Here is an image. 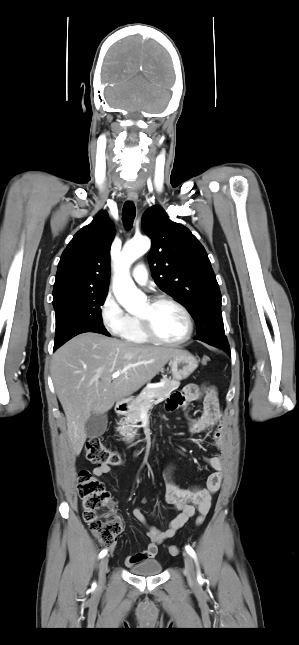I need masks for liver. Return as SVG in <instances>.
Listing matches in <instances>:
<instances>
[{
  "label": "liver",
  "instance_id": "obj_1",
  "mask_svg": "<svg viewBox=\"0 0 299 645\" xmlns=\"http://www.w3.org/2000/svg\"><path fill=\"white\" fill-rule=\"evenodd\" d=\"M181 352L93 332L80 334L58 348L52 357L51 375L74 454L81 453L87 438L85 423L92 414H103L138 391ZM116 371L124 372L112 378Z\"/></svg>",
  "mask_w": 299,
  "mask_h": 645
}]
</instances>
